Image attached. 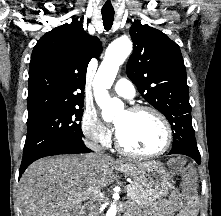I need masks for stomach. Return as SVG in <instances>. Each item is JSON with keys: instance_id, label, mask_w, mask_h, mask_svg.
I'll return each instance as SVG.
<instances>
[{"instance_id": "stomach-1", "label": "stomach", "mask_w": 221, "mask_h": 216, "mask_svg": "<svg viewBox=\"0 0 221 216\" xmlns=\"http://www.w3.org/2000/svg\"><path fill=\"white\" fill-rule=\"evenodd\" d=\"M120 170L131 176L137 184L143 187L147 193L152 194L155 199L168 195L173 188L170 174L158 161L129 163L121 166Z\"/></svg>"}]
</instances>
